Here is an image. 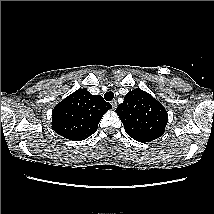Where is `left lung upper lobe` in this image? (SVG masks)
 <instances>
[{"mask_svg":"<svg viewBox=\"0 0 214 214\" xmlns=\"http://www.w3.org/2000/svg\"><path fill=\"white\" fill-rule=\"evenodd\" d=\"M116 113L126 133L138 142H151L159 138L168 122V114L162 104L138 88L127 93Z\"/></svg>","mask_w":214,"mask_h":214,"instance_id":"5c2ea615","label":"left lung upper lobe"}]
</instances>
